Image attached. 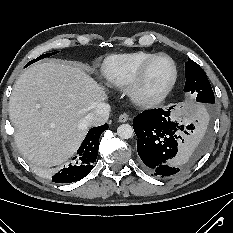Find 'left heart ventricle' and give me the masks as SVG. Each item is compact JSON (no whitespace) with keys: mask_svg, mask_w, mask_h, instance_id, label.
<instances>
[{"mask_svg":"<svg viewBox=\"0 0 233 233\" xmlns=\"http://www.w3.org/2000/svg\"><path fill=\"white\" fill-rule=\"evenodd\" d=\"M172 75V65L168 59H160L149 69L144 84L145 93H154L161 89Z\"/></svg>","mask_w":233,"mask_h":233,"instance_id":"obj_1","label":"left heart ventricle"}]
</instances>
